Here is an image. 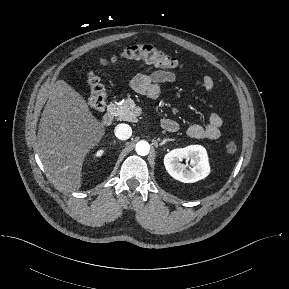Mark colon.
Returning a JSON list of instances; mask_svg holds the SVG:
<instances>
[{
	"label": "colon",
	"mask_w": 289,
	"mask_h": 289,
	"mask_svg": "<svg viewBox=\"0 0 289 289\" xmlns=\"http://www.w3.org/2000/svg\"><path fill=\"white\" fill-rule=\"evenodd\" d=\"M118 60H143L163 69H178L181 67L180 62L175 57L150 43L129 45L111 58L101 59L99 64L104 67ZM97 72L98 69H93L88 71L86 75V81L89 86L87 103L91 108L101 111L106 106L107 93ZM225 149L227 153L234 154L237 150V145L234 141H229Z\"/></svg>",
	"instance_id": "1"
}]
</instances>
